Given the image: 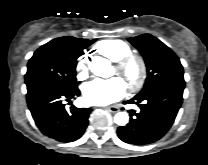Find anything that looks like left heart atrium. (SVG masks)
I'll return each instance as SVG.
<instances>
[{"instance_id": "1", "label": "left heart atrium", "mask_w": 208, "mask_h": 165, "mask_svg": "<svg viewBox=\"0 0 208 165\" xmlns=\"http://www.w3.org/2000/svg\"><path fill=\"white\" fill-rule=\"evenodd\" d=\"M126 85L119 77L95 79L83 87L84 99L91 105L105 106L121 99Z\"/></svg>"}]
</instances>
